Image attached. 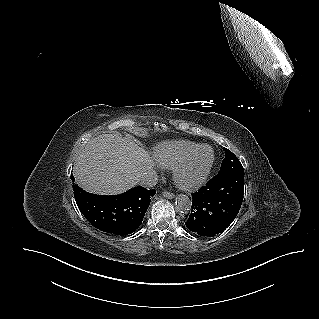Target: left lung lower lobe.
<instances>
[{
  "mask_svg": "<svg viewBox=\"0 0 319 319\" xmlns=\"http://www.w3.org/2000/svg\"><path fill=\"white\" fill-rule=\"evenodd\" d=\"M244 193V172L217 174L192 194L186 227L201 236L223 232L237 216Z\"/></svg>",
  "mask_w": 319,
  "mask_h": 319,
  "instance_id": "obj_1",
  "label": "left lung lower lobe"
}]
</instances>
